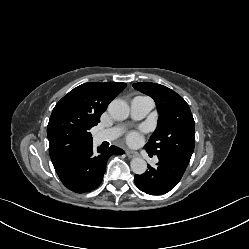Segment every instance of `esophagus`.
Wrapping results in <instances>:
<instances>
[{
	"label": "esophagus",
	"instance_id": "34e87169",
	"mask_svg": "<svg viewBox=\"0 0 249 249\" xmlns=\"http://www.w3.org/2000/svg\"><path fill=\"white\" fill-rule=\"evenodd\" d=\"M126 155H127L129 158H134V157L138 156V153L135 152V151L126 150Z\"/></svg>",
	"mask_w": 249,
	"mask_h": 249
}]
</instances>
